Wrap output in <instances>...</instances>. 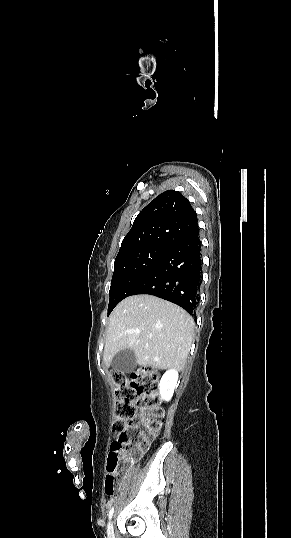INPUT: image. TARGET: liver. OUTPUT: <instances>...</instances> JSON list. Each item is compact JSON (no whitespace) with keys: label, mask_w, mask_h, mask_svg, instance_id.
<instances>
[{"label":"liver","mask_w":291,"mask_h":538,"mask_svg":"<svg viewBox=\"0 0 291 538\" xmlns=\"http://www.w3.org/2000/svg\"><path fill=\"white\" fill-rule=\"evenodd\" d=\"M193 328V318L171 302L147 294L127 297L110 315L104 362L108 365L119 351L131 349L141 366L180 370L190 352Z\"/></svg>","instance_id":"6515ba94"}]
</instances>
